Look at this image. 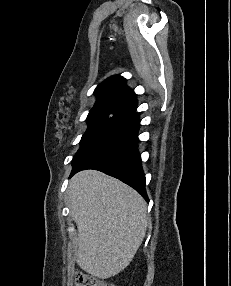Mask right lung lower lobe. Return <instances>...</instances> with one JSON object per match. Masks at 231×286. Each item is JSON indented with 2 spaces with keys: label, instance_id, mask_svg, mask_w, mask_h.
<instances>
[{
  "label": "right lung lower lobe",
  "instance_id": "98d812e1",
  "mask_svg": "<svg viewBox=\"0 0 231 286\" xmlns=\"http://www.w3.org/2000/svg\"><path fill=\"white\" fill-rule=\"evenodd\" d=\"M138 121L137 115L72 163L70 176L84 169L100 170L133 187L148 201L145 175L137 151Z\"/></svg>",
  "mask_w": 231,
  "mask_h": 286
}]
</instances>
